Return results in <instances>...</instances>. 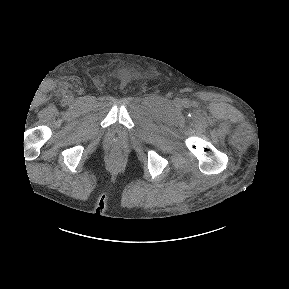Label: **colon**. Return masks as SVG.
<instances>
[{
  "label": "colon",
  "mask_w": 289,
  "mask_h": 289,
  "mask_svg": "<svg viewBox=\"0 0 289 289\" xmlns=\"http://www.w3.org/2000/svg\"><path fill=\"white\" fill-rule=\"evenodd\" d=\"M110 155L113 159H118L120 157V151L117 149H114L111 151Z\"/></svg>",
  "instance_id": "colon-1"
}]
</instances>
